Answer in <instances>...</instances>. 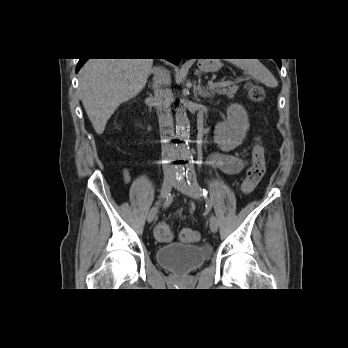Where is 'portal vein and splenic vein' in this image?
I'll use <instances>...</instances> for the list:
<instances>
[{"label":"portal vein and splenic vein","instance_id":"portal-vein-and-splenic-vein-1","mask_svg":"<svg viewBox=\"0 0 348 348\" xmlns=\"http://www.w3.org/2000/svg\"><path fill=\"white\" fill-rule=\"evenodd\" d=\"M231 83V81H219V82H216V83H209L208 85L210 87H225V86H228L229 84Z\"/></svg>","mask_w":348,"mask_h":348}]
</instances>
